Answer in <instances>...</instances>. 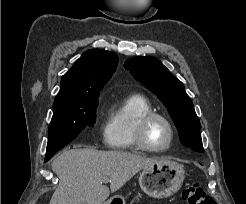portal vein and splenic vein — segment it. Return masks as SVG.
I'll return each instance as SVG.
<instances>
[{
  "mask_svg": "<svg viewBox=\"0 0 246 204\" xmlns=\"http://www.w3.org/2000/svg\"><path fill=\"white\" fill-rule=\"evenodd\" d=\"M102 181H103L104 183L111 182V180H110L109 178H104Z\"/></svg>",
  "mask_w": 246,
  "mask_h": 204,
  "instance_id": "portal-vein-and-splenic-vein-1",
  "label": "portal vein and splenic vein"
}]
</instances>
